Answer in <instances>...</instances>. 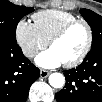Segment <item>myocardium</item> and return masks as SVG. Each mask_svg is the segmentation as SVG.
<instances>
[{
	"label": "myocardium",
	"mask_w": 102,
	"mask_h": 102,
	"mask_svg": "<svg viewBox=\"0 0 102 102\" xmlns=\"http://www.w3.org/2000/svg\"><path fill=\"white\" fill-rule=\"evenodd\" d=\"M78 24H82L86 28L87 42H86V45H85L82 53L75 60L63 63V65L68 68H72V67H76V66L80 65L85 60V58L87 57V55L91 49V45H92V41H93V33H92V29H91L90 25L88 24V22L83 19L73 20V21L67 23L65 26H63L57 33H55L48 42L49 47L51 48L55 42L62 39L74 26H76Z\"/></svg>",
	"instance_id": "f54148a6"
}]
</instances>
